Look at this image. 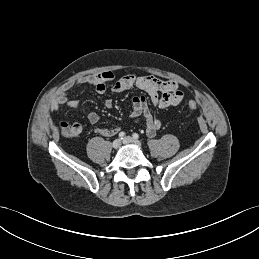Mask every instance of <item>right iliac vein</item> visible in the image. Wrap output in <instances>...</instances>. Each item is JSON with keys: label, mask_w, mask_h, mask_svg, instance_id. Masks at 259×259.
<instances>
[{"label": "right iliac vein", "mask_w": 259, "mask_h": 259, "mask_svg": "<svg viewBox=\"0 0 259 259\" xmlns=\"http://www.w3.org/2000/svg\"><path fill=\"white\" fill-rule=\"evenodd\" d=\"M112 146L114 149H118L121 146V140L120 139H116L113 141Z\"/></svg>", "instance_id": "63e3f726"}]
</instances>
